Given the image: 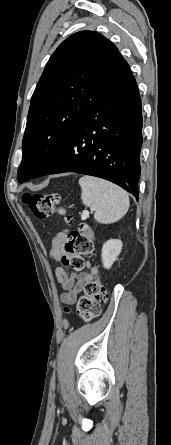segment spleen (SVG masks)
I'll list each match as a JSON object with an SVG mask.
<instances>
[{"instance_id": "spleen-1", "label": "spleen", "mask_w": 171, "mask_h": 445, "mask_svg": "<svg viewBox=\"0 0 171 445\" xmlns=\"http://www.w3.org/2000/svg\"><path fill=\"white\" fill-rule=\"evenodd\" d=\"M79 185L82 202L95 211L94 218L97 222L113 223L127 213L130 202L122 188L92 176L81 177Z\"/></svg>"}]
</instances>
